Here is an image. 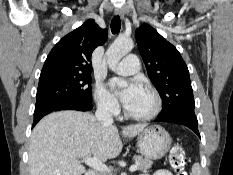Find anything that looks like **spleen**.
Segmentation results:
<instances>
[{"mask_svg":"<svg viewBox=\"0 0 233 175\" xmlns=\"http://www.w3.org/2000/svg\"><path fill=\"white\" fill-rule=\"evenodd\" d=\"M200 173H201L200 165H199V163H195L192 166V175H200Z\"/></svg>","mask_w":233,"mask_h":175,"instance_id":"obj_1","label":"spleen"}]
</instances>
